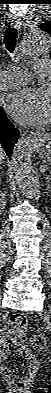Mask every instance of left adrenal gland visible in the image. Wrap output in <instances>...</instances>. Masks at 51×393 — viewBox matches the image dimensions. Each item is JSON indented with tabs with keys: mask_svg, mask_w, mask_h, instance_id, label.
Instances as JSON below:
<instances>
[{
	"mask_svg": "<svg viewBox=\"0 0 51 393\" xmlns=\"http://www.w3.org/2000/svg\"><path fill=\"white\" fill-rule=\"evenodd\" d=\"M42 172H43V170H42ZM49 186H50V184L48 185V189L50 188Z\"/></svg>",
	"mask_w": 51,
	"mask_h": 393,
	"instance_id": "1",
	"label": "left adrenal gland"
}]
</instances>
